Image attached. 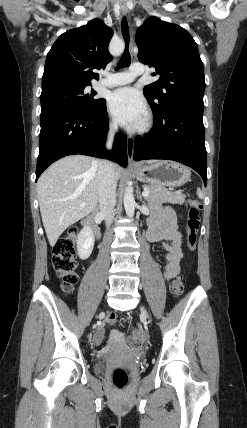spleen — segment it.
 <instances>
[{
    "mask_svg": "<svg viewBox=\"0 0 247 428\" xmlns=\"http://www.w3.org/2000/svg\"><path fill=\"white\" fill-rule=\"evenodd\" d=\"M197 195L201 199L204 198L203 192L200 189L197 190Z\"/></svg>",
    "mask_w": 247,
    "mask_h": 428,
    "instance_id": "obj_1",
    "label": "spleen"
}]
</instances>
